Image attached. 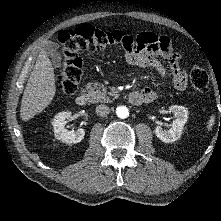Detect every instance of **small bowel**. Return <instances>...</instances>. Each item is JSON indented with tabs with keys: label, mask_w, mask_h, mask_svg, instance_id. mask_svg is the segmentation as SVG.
Returning <instances> with one entry per match:
<instances>
[{
	"label": "small bowel",
	"mask_w": 221,
	"mask_h": 221,
	"mask_svg": "<svg viewBox=\"0 0 221 221\" xmlns=\"http://www.w3.org/2000/svg\"><path fill=\"white\" fill-rule=\"evenodd\" d=\"M126 61L135 66L151 68L162 76H167V69L159 61L158 56L169 61L171 82L175 89L183 91L187 87V77L179 64V56L174 53L170 39L165 35L153 32H142L131 43L124 47ZM146 102L158 97V93L150 88L139 91Z\"/></svg>",
	"instance_id": "c3829d8e"
}]
</instances>
